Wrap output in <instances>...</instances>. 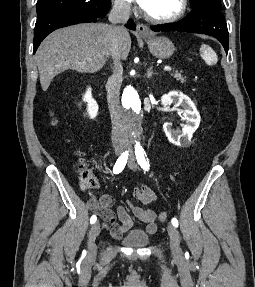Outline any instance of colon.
<instances>
[{
  "instance_id": "colon-1",
  "label": "colon",
  "mask_w": 255,
  "mask_h": 287,
  "mask_svg": "<svg viewBox=\"0 0 255 287\" xmlns=\"http://www.w3.org/2000/svg\"><path fill=\"white\" fill-rule=\"evenodd\" d=\"M78 175L82 189H88L95 185L96 180L93 172L82 159H80L78 163ZM158 218L160 221H166L168 219V213L164 211L159 212Z\"/></svg>"
}]
</instances>
